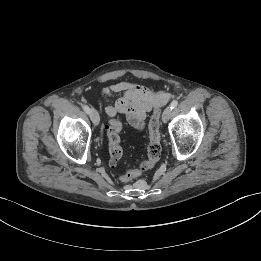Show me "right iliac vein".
I'll list each match as a JSON object with an SVG mask.
<instances>
[{"label": "right iliac vein", "instance_id": "1", "mask_svg": "<svg viewBox=\"0 0 261 261\" xmlns=\"http://www.w3.org/2000/svg\"><path fill=\"white\" fill-rule=\"evenodd\" d=\"M89 115H90V118H91L92 122L94 123V125H98L99 121H100L98 112L94 108H91Z\"/></svg>", "mask_w": 261, "mask_h": 261}]
</instances>
